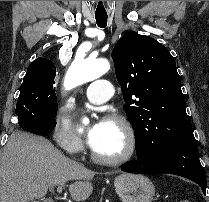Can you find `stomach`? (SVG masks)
<instances>
[{"label":"stomach","instance_id":"stomach-1","mask_svg":"<svg viewBox=\"0 0 209 202\" xmlns=\"http://www.w3.org/2000/svg\"><path fill=\"white\" fill-rule=\"evenodd\" d=\"M114 187L123 202H151L155 187L143 175L124 173L115 178Z\"/></svg>","mask_w":209,"mask_h":202}]
</instances>
